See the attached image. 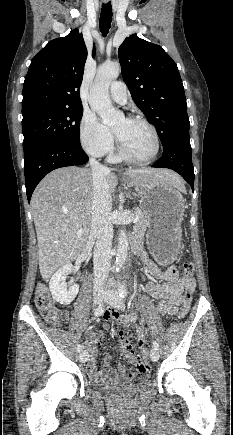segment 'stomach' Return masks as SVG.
I'll list each match as a JSON object with an SVG mask.
<instances>
[{"mask_svg": "<svg viewBox=\"0 0 233 435\" xmlns=\"http://www.w3.org/2000/svg\"><path fill=\"white\" fill-rule=\"evenodd\" d=\"M134 187L140 197V208L145 214L148 232L147 243L154 258L163 265L173 262L181 245V221L185 200L179 190L161 180L137 184L124 179Z\"/></svg>", "mask_w": 233, "mask_h": 435, "instance_id": "1", "label": "stomach"}]
</instances>
